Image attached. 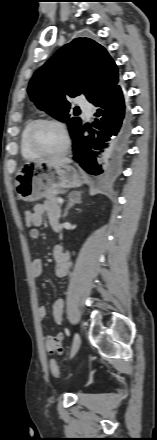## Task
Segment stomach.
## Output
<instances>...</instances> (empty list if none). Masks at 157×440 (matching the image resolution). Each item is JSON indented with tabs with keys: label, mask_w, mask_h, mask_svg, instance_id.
<instances>
[{
	"label": "stomach",
	"mask_w": 157,
	"mask_h": 440,
	"mask_svg": "<svg viewBox=\"0 0 157 440\" xmlns=\"http://www.w3.org/2000/svg\"><path fill=\"white\" fill-rule=\"evenodd\" d=\"M83 184V173L68 164L51 165L43 161L26 163L15 176V191L25 202L38 201L59 189Z\"/></svg>",
	"instance_id": "stomach-1"
}]
</instances>
